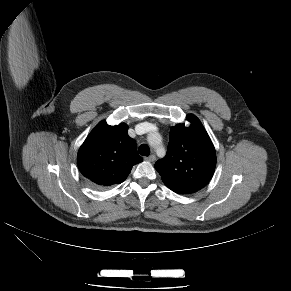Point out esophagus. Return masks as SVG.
Masks as SVG:
<instances>
[{
    "instance_id": "34e87169",
    "label": "esophagus",
    "mask_w": 291,
    "mask_h": 291,
    "mask_svg": "<svg viewBox=\"0 0 291 291\" xmlns=\"http://www.w3.org/2000/svg\"><path fill=\"white\" fill-rule=\"evenodd\" d=\"M146 161H149V162H154L155 160H156V157H155V155H150V156H148V157H145L144 158Z\"/></svg>"
}]
</instances>
